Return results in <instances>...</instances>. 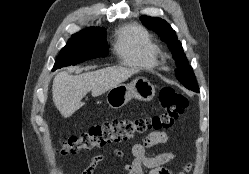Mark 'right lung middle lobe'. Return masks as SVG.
I'll list each match as a JSON object with an SVG mask.
<instances>
[{
  "label": "right lung middle lobe",
  "instance_id": "1",
  "mask_svg": "<svg viewBox=\"0 0 249 174\" xmlns=\"http://www.w3.org/2000/svg\"><path fill=\"white\" fill-rule=\"evenodd\" d=\"M106 35V30L98 27H90L72 35L67 45L60 51L53 71L90 59L106 57L108 55Z\"/></svg>",
  "mask_w": 249,
  "mask_h": 174
}]
</instances>
